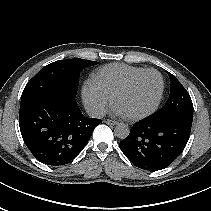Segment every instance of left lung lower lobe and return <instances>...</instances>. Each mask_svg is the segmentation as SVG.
I'll list each match as a JSON object with an SVG mask.
<instances>
[{
  "label": "left lung lower lobe",
  "instance_id": "0a47b994",
  "mask_svg": "<svg viewBox=\"0 0 211 211\" xmlns=\"http://www.w3.org/2000/svg\"><path fill=\"white\" fill-rule=\"evenodd\" d=\"M192 123L180 119L151 120L135 124L121 151L138 168L157 171L168 167L184 150Z\"/></svg>",
  "mask_w": 211,
  "mask_h": 211
}]
</instances>
